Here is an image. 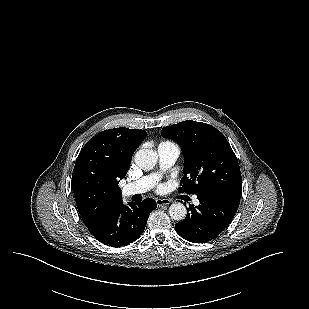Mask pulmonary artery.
<instances>
[{
	"instance_id": "obj_1",
	"label": "pulmonary artery",
	"mask_w": 309,
	"mask_h": 309,
	"mask_svg": "<svg viewBox=\"0 0 309 309\" xmlns=\"http://www.w3.org/2000/svg\"><path fill=\"white\" fill-rule=\"evenodd\" d=\"M157 152L161 169H168L175 163L180 151L178 146H176L175 144L161 143L158 146ZM158 178V174L145 176L135 182L123 186L122 193L125 196L145 193L154 186ZM194 203H198V200L196 198L194 199Z\"/></svg>"
}]
</instances>
